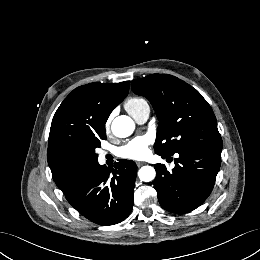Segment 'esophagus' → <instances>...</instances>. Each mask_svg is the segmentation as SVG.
<instances>
[{
  "mask_svg": "<svg viewBox=\"0 0 260 260\" xmlns=\"http://www.w3.org/2000/svg\"><path fill=\"white\" fill-rule=\"evenodd\" d=\"M145 163L144 162H136V165L138 166V167H140V166H142V165H144Z\"/></svg>",
  "mask_w": 260,
  "mask_h": 260,
  "instance_id": "1",
  "label": "esophagus"
}]
</instances>
